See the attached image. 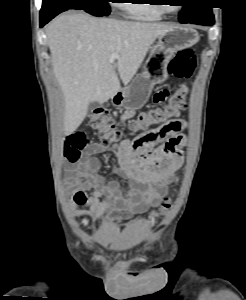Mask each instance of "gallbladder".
<instances>
[{"instance_id": "obj_1", "label": "gallbladder", "mask_w": 246, "mask_h": 300, "mask_svg": "<svg viewBox=\"0 0 246 300\" xmlns=\"http://www.w3.org/2000/svg\"><path fill=\"white\" fill-rule=\"evenodd\" d=\"M100 106H101V104L99 102L94 101L89 104L88 109H89V111H93Z\"/></svg>"}]
</instances>
